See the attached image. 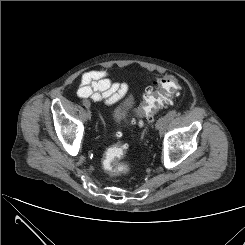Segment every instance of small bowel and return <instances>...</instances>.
Listing matches in <instances>:
<instances>
[{"mask_svg": "<svg viewBox=\"0 0 245 245\" xmlns=\"http://www.w3.org/2000/svg\"><path fill=\"white\" fill-rule=\"evenodd\" d=\"M106 70L86 72L80 79L77 95L80 98H90L107 105L115 104L128 92V85L124 82L113 83Z\"/></svg>", "mask_w": 245, "mask_h": 245, "instance_id": "obj_1", "label": "small bowel"}]
</instances>
